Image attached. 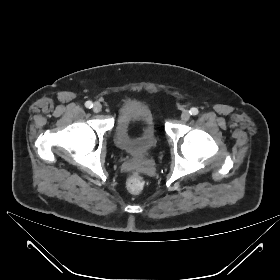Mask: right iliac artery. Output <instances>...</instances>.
I'll return each instance as SVG.
<instances>
[{"mask_svg": "<svg viewBox=\"0 0 280 280\" xmlns=\"http://www.w3.org/2000/svg\"><path fill=\"white\" fill-rule=\"evenodd\" d=\"M85 106L87 107V108H92L93 107V103L91 102V101H87L86 103H85Z\"/></svg>", "mask_w": 280, "mask_h": 280, "instance_id": "82829eb1", "label": "right iliac artery"}]
</instances>
